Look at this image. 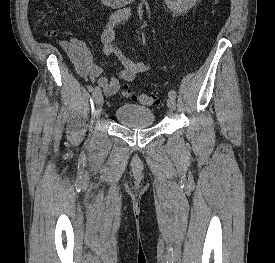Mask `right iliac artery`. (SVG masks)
<instances>
[{
    "mask_svg": "<svg viewBox=\"0 0 275 263\" xmlns=\"http://www.w3.org/2000/svg\"><path fill=\"white\" fill-rule=\"evenodd\" d=\"M101 94V90L98 87H95L93 89L92 95H93V100L95 101V99Z\"/></svg>",
    "mask_w": 275,
    "mask_h": 263,
    "instance_id": "1",
    "label": "right iliac artery"
}]
</instances>
